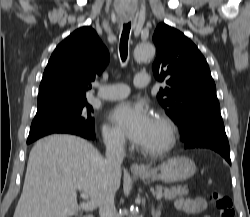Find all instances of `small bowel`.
<instances>
[{
  "label": "small bowel",
  "instance_id": "1",
  "mask_svg": "<svg viewBox=\"0 0 250 217\" xmlns=\"http://www.w3.org/2000/svg\"><path fill=\"white\" fill-rule=\"evenodd\" d=\"M175 207L187 214H201L207 208V202L204 198L198 197L194 199L179 198L175 201ZM210 217V216H204Z\"/></svg>",
  "mask_w": 250,
  "mask_h": 217
}]
</instances>
